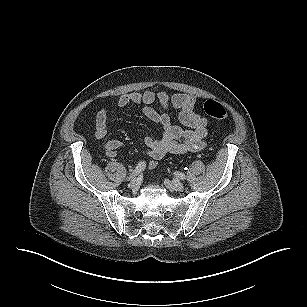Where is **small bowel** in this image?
Here are the masks:
<instances>
[{"instance_id": "obj_1", "label": "small bowel", "mask_w": 307, "mask_h": 307, "mask_svg": "<svg viewBox=\"0 0 307 307\" xmlns=\"http://www.w3.org/2000/svg\"><path fill=\"white\" fill-rule=\"evenodd\" d=\"M155 102H158L163 108L177 109L179 120L186 128L182 129L173 124L167 113L153 107ZM131 104L142 105L147 118L158 124L162 130L159 137L147 136L145 138V144L148 147L147 155L150 159L149 167H154L167 154L192 153L204 148V139L208 134L210 121L196 113L194 97L184 93L170 95L165 91L151 90L126 93L119 97L120 107ZM107 121V110H99L95 117V137L99 140L106 138L108 134ZM103 147L106 156L113 157L123 147V143L117 139H110L104 142Z\"/></svg>"}]
</instances>
